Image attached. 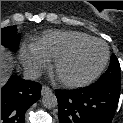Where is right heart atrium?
<instances>
[{"mask_svg":"<svg viewBox=\"0 0 123 123\" xmlns=\"http://www.w3.org/2000/svg\"><path fill=\"white\" fill-rule=\"evenodd\" d=\"M20 58L25 70L31 76L39 75L49 64V60L45 56L31 47L24 48L21 51Z\"/></svg>","mask_w":123,"mask_h":123,"instance_id":"obj_1","label":"right heart atrium"}]
</instances>
